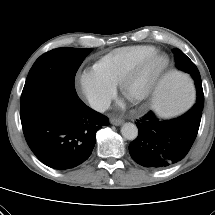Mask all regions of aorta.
Returning a JSON list of instances; mask_svg holds the SVG:
<instances>
[{"instance_id":"aorta-1","label":"aorta","mask_w":215,"mask_h":215,"mask_svg":"<svg viewBox=\"0 0 215 215\" xmlns=\"http://www.w3.org/2000/svg\"><path fill=\"white\" fill-rule=\"evenodd\" d=\"M121 134L127 140H135L138 136V128L133 123H124L121 127Z\"/></svg>"}]
</instances>
